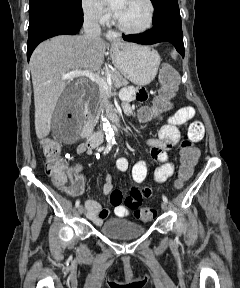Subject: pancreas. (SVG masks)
Returning a JSON list of instances; mask_svg holds the SVG:
<instances>
[{
	"label": "pancreas",
	"mask_w": 240,
	"mask_h": 288,
	"mask_svg": "<svg viewBox=\"0 0 240 288\" xmlns=\"http://www.w3.org/2000/svg\"><path fill=\"white\" fill-rule=\"evenodd\" d=\"M108 76L111 77L112 85H114V87L116 88L126 86L129 83L125 78H123L122 74L117 70L106 71L103 79L106 81ZM88 86H89L90 91H95L98 93L99 105L105 108L108 107L109 106V100H108L109 91L103 89L102 87H100L98 84L94 82H90ZM87 105H90V103L87 102Z\"/></svg>",
	"instance_id": "obj_1"
}]
</instances>
